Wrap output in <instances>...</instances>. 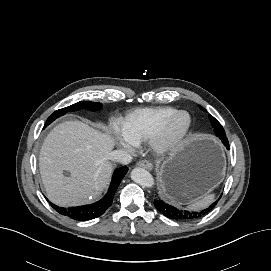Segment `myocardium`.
Listing matches in <instances>:
<instances>
[{"label":"myocardium","mask_w":271,"mask_h":271,"mask_svg":"<svg viewBox=\"0 0 271 271\" xmlns=\"http://www.w3.org/2000/svg\"><path fill=\"white\" fill-rule=\"evenodd\" d=\"M186 116V127L175 132L174 127L179 117ZM193 121L189 112L177 110L160 128V130L150 139L151 148L159 155H166L179 148L190 136Z\"/></svg>","instance_id":"obj_1"}]
</instances>
